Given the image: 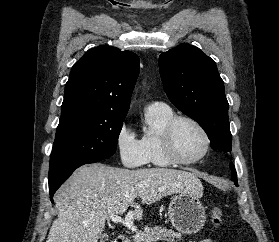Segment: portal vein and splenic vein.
<instances>
[{"label":"portal vein and splenic vein","mask_w":279,"mask_h":242,"mask_svg":"<svg viewBox=\"0 0 279 242\" xmlns=\"http://www.w3.org/2000/svg\"><path fill=\"white\" fill-rule=\"evenodd\" d=\"M109 219H111V221H113L114 223H121L123 224L125 227H127L129 230H131L132 232H135L137 235L142 234L137 227L134 225V214L133 211H129L127 213V215L125 216V218H122L120 215L118 214H110L109 215Z\"/></svg>","instance_id":"18ae733b"}]
</instances>
